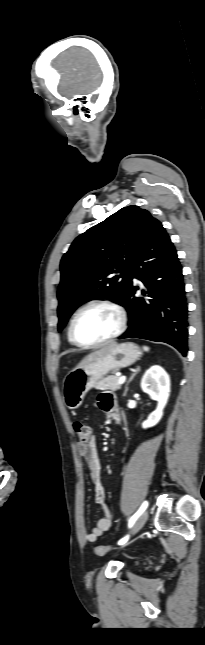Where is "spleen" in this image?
I'll list each match as a JSON object with an SVG mask.
<instances>
[{
  "label": "spleen",
  "instance_id": "spleen-1",
  "mask_svg": "<svg viewBox=\"0 0 205 645\" xmlns=\"http://www.w3.org/2000/svg\"><path fill=\"white\" fill-rule=\"evenodd\" d=\"M143 349H144V351H149V347H147V346H144Z\"/></svg>",
  "mask_w": 205,
  "mask_h": 645
}]
</instances>
